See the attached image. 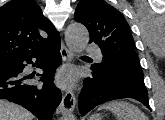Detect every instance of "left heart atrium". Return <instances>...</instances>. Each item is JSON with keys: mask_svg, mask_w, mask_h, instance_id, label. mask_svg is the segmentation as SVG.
Listing matches in <instances>:
<instances>
[{"mask_svg": "<svg viewBox=\"0 0 165 120\" xmlns=\"http://www.w3.org/2000/svg\"><path fill=\"white\" fill-rule=\"evenodd\" d=\"M75 76L72 70L65 69L58 74L57 82L61 86H70L73 84Z\"/></svg>", "mask_w": 165, "mask_h": 120, "instance_id": "obj_1", "label": "left heart atrium"}]
</instances>
